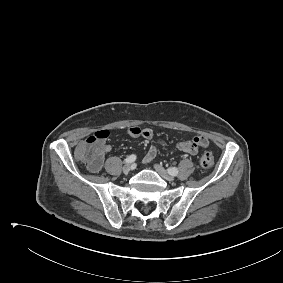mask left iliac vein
Returning a JSON list of instances; mask_svg holds the SVG:
<instances>
[{
    "label": "left iliac vein",
    "instance_id": "4c4485c4",
    "mask_svg": "<svg viewBox=\"0 0 283 283\" xmlns=\"http://www.w3.org/2000/svg\"><path fill=\"white\" fill-rule=\"evenodd\" d=\"M154 167L156 171L159 173V175L165 180L170 182L174 180V176L169 174V172H167L161 165L155 164Z\"/></svg>",
    "mask_w": 283,
    "mask_h": 283
}]
</instances>
